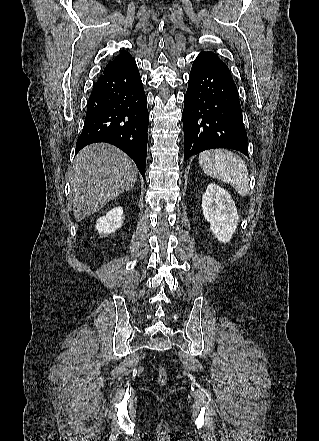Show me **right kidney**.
<instances>
[{
  "label": "right kidney",
  "mask_w": 319,
  "mask_h": 441,
  "mask_svg": "<svg viewBox=\"0 0 319 441\" xmlns=\"http://www.w3.org/2000/svg\"><path fill=\"white\" fill-rule=\"evenodd\" d=\"M123 221V208L115 207L107 212L106 216H101L97 221L95 228L98 232L110 234L118 230Z\"/></svg>",
  "instance_id": "1"
}]
</instances>
